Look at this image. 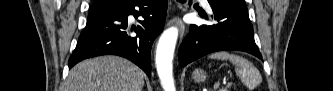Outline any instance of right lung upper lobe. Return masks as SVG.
I'll return each instance as SVG.
<instances>
[{
  "label": "right lung upper lobe",
  "mask_w": 333,
  "mask_h": 91,
  "mask_svg": "<svg viewBox=\"0 0 333 91\" xmlns=\"http://www.w3.org/2000/svg\"><path fill=\"white\" fill-rule=\"evenodd\" d=\"M109 1H124L121 4V7H123V6L127 5L128 3H130L132 0H94V2H97V3H106V2H109ZM114 8L117 9V8H120V7H104L101 10H110V9H114ZM98 11H100V10H98Z\"/></svg>",
  "instance_id": "1"
}]
</instances>
